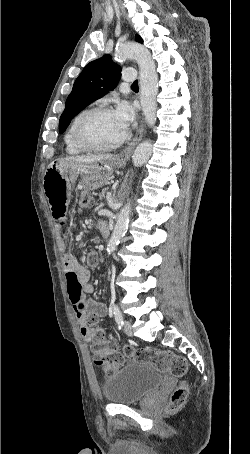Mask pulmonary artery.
I'll return each mask as SVG.
<instances>
[{"label": "pulmonary artery", "instance_id": "obj_1", "mask_svg": "<svg viewBox=\"0 0 250 454\" xmlns=\"http://www.w3.org/2000/svg\"><path fill=\"white\" fill-rule=\"evenodd\" d=\"M137 78L135 70L127 68L123 71V80L126 82H133Z\"/></svg>", "mask_w": 250, "mask_h": 454}]
</instances>
